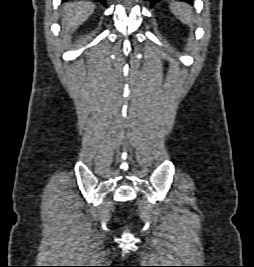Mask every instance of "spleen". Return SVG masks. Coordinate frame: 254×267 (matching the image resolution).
Masks as SVG:
<instances>
[{"mask_svg": "<svg viewBox=\"0 0 254 267\" xmlns=\"http://www.w3.org/2000/svg\"><path fill=\"white\" fill-rule=\"evenodd\" d=\"M170 9L172 13L184 24H192V8L186 3L171 2Z\"/></svg>", "mask_w": 254, "mask_h": 267, "instance_id": "1", "label": "spleen"}]
</instances>
